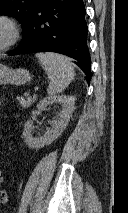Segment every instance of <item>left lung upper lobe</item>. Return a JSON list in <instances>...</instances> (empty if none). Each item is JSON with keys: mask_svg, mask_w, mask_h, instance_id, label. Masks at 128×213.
<instances>
[{"mask_svg": "<svg viewBox=\"0 0 128 213\" xmlns=\"http://www.w3.org/2000/svg\"><path fill=\"white\" fill-rule=\"evenodd\" d=\"M39 0H0V14L14 16L22 23V29L29 25Z\"/></svg>", "mask_w": 128, "mask_h": 213, "instance_id": "obj_1", "label": "left lung upper lobe"}]
</instances>
